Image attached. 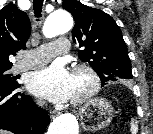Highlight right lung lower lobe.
<instances>
[{"instance_id":"right-lung-lower-lobe-1","label":"right lung lower lobe","mask_w":153,"mask_h":134,"mask_svg":"<svg viewBox=\"0 0 153 134\" xmlns=\"http://www.w3.org/2000/svg\"><path fill=\"white\" fill-rule=\"evenodd\" d=\"M20 87L0 85V129L15 134H43L49 116L35 105L32 98L17 91Z\"/></svg>"}]
</instances>
